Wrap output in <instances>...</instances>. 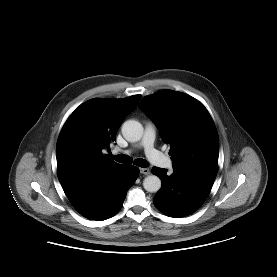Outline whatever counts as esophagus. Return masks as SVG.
Returning <instances> with one entry per match:
<instances>
[{"label": "esophagus", "mask_w": 277, "mask_h": 277, "mask_svg": "<svg viewBox=\"0 0 277 277\" xmlns=\"http://www.w3.org/2000/svg\"><path fill=\"white\" fill-rule=\"evenodd\" d=\"M140 173H142L144 175H148V174H150V170H149V168H140Z\"/></svg>", "instance_id": "34e87169"}]
</instances>
